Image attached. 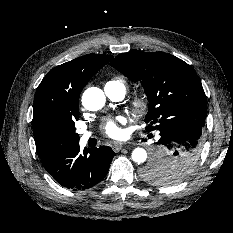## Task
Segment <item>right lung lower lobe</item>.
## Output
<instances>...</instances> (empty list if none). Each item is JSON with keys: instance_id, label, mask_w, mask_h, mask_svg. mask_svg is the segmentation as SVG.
I'll list each match as a JSON object with an SVG mask.
<instances>
[{"instance_id": "right-lung-lower-lobe-1", "label": "right lung lower lobe", "mask_w": 233, "mask_h": 233, "mask_svg": "<svg viewBox=\"0 0 233 233\" xmlns=\"http://www.w3.org/2000/svg\"><path fill=\"white\" fill-rule=\"evenodd\" d=\"M44 168L63 187L83 190L99 183L107 174L115 153L108 146L85 148L79 144L56 152L39 154Z\"/></svg>"}]
</instances>
